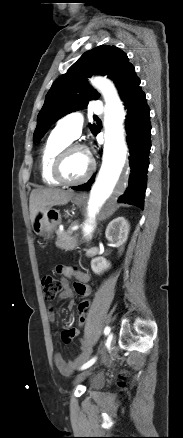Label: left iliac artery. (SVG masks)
<instances>
[{
    "instance_id": "left-iliac-artery-1",
    "label": "left iliac artery",
    "mask_w": 183,
    "mask_h": 438,
    "mask_svg": "<svg viewBox=\"0 0 183 438\" xmlns=\"http://www.w3.org/2000/svg\"><path fill=\"white\" fill-rule=\"evenodd\" d=\"M110 327H106L105 329H104V334L105 335H108L109 333H110ZM96 359H97V357H94L93 359H91L90 361H88L87 363H85L82 367H81V370H84V369H87L88 367H90L91 365H93L94 364V362L96 361Z\"/></svg>"
}]
</instances>
